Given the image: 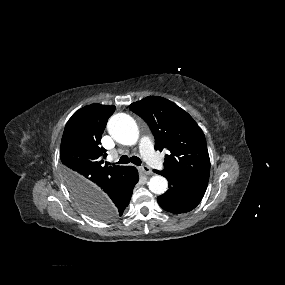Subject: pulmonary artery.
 <instances>
[{"label": "pulmonary artery", "mask_w": 285, "mask_h": 285, "mask_svg": "<svg viewBox=\"0 0 285 285\" xmlns=\"http://www.w3.org/2000/svg\"><path fill=\"white\" fill-rule=\"evenodd\" d=\"M139 150L146 163L157 169L162 168V161L154 151L152 141L148 136L140 138Z\"/></svg>", "instance_id": "pulmonary-artery-1"}]
</instances>
